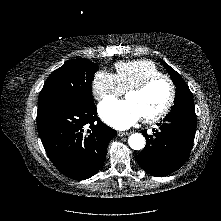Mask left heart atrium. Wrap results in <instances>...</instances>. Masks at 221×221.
Instances as JSON below:
<instances>
[{"label": "left heart atrium", "instance_id": "39dd6f15", "mask_svg": "<svg viewBox=\"0 0 221 221\" xmlns=\"http://www.w3.org/2000/svg\"><path fill=\"white\" fill-rule=\"evenodd\" d=\"M102 120L116 129H127L140 118V112L130 100L107 99L99 105Z\"/></svg>", "mask_w": 221, "mask_h": 221}]
</instances>
